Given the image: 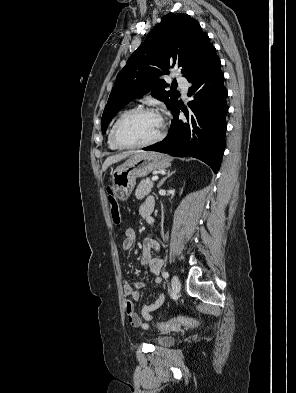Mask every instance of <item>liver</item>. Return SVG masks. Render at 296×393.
I'll use <instances>...</instances> for the list:
<instances>
[{"label": "liver", "mask_w": 296, "mask_h": 393, "mask_svg": "<svg viewBox=\"0 0 296 393\" xmlns=\"http://www.w3.org/2000/svg\"><path fill=\"white\" fill-rule=\"evenodd\" d=\"M137 153H142V151H128V152H123V153H120V154H117V155L110 156V157H108V158L104 161V163H103V165H102V169H103V171H106V169H107L110 165H112V164H114V163H117V162H119V161H121V160L127 158V157H128L129 155H131V154H137Z\"/></svg>", "instance_id": "6515ba94"}]
</instances>
